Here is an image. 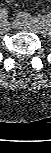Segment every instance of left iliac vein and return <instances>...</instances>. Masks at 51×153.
<instances>
[{
	"mask_svg": "<svg viewBox=\"0 0 51 153\" xmlns=\"http://www.w3.org/2000/svg\"><path fill=\"white\" fill-rule=\"evenodd\" d=\"M14 25L19 29H29L36 32H45L47 30V27L43 26V24L39 22L33 23L29 20H26L21 13L17 16L16 20L14 21Z\"/></svg>",
	"mask_w": 51,
	"mask_h": 153,
	"instance_id": "left-iliac-vein-1",
	"label": "left iliac vein"
}]
</instances>
